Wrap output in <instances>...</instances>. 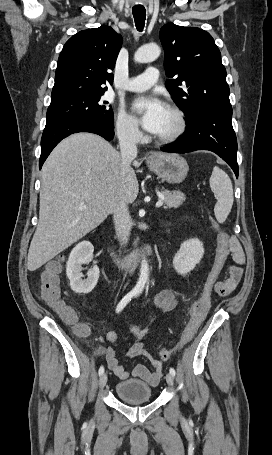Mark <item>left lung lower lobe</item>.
<instances>
[{
  "label": "left lung lower lobe",
  "instance_id": "left-lung-lower-lobe-1",
  "mask_svg": "<svg viewBox=\"0 0 272 455\" xmlns=\"http://www.w3.org/2000/svg\"><path fill=\"white\" fill-rule=\"evenodd\" d=\"M232 108H214L201 112L186 122V131L164 152L187 153L209 150L216 153L238 177L237 139L231 123Z\"/></svg>",
  "mask_w": 272,
  "mask_h": 455
}]
</instances>
